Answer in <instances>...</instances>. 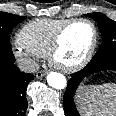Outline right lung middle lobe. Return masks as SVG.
Returning a JSON list of instances; mask_svg holds the SVG:
<instances>
[{"instance_id": "obj_1", "label": "right lung middle lobe", "mask_w": 116, "mask_h": 116, "mask_svg": "<svg viewBox=\"0 0 116 116\" xmlns=\"http://www.w3.org/2000/svg\"><path fill=\"white\" fill-rule=\"evenodd\" d=\"M25 16H18L6 12H0V66L12 59L13 53L10 47V33Z\"/></svg>"}]
</instances>
